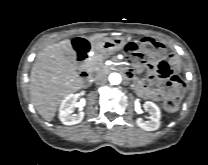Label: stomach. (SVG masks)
I'll return each instance as SVG.
<instances>
[{
  "label": "stomach",
  "mask_w": 208,
  "mask_h": 165,
  "mask_svg": "<svg viewBox=\"0 0 208 165\" xmlns=\"http://www.w3.org/2000/svg\"><path fill=\"white\" fill-rule=\"evenodd\" d=\"M126 43V38L115 36L93 42L91 43V47L94 51L99 53H114L123 49Z\"/></svg>",
  "instance_id": "stomach-1"
}]
</instances>
